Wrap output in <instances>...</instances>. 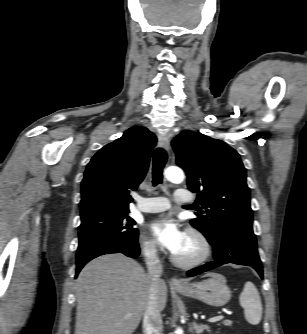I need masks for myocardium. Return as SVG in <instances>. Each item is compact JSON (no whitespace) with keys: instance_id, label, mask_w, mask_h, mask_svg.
I'll list each match as a JSON object with an SVG mask.
<instances>
[{"instance_id":"1","label":"myocardium","mask_w":307,"mask_h":334,"mask_svg":"<svg viewBox=\"0 0 307 334\" xmlns=\"http://www.w3.org/2000/svg\"><path fill=\"white\" fill-rule=\"evenodd\" d=\"M186 235L194 237L199 244V252L196 256L190 259H183L175 253L171 254L172 262L182 268H191L205 262L211 255V244L205 234L195 227H188Z\"/></svg>"}]
</instances>
